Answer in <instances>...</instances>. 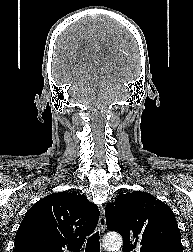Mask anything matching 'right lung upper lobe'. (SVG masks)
I'll use <instances>...</instances> for the list:
<instances>
[{
	"mask_svg": "<svg viewBox=\"0 0 193 252\" xmlns=\"http://www.w3.org/2000/svg\"><path fill=\"white\" fill-rule=\"evenodd\" d=\"M98 207L74 191L50 194L25 214L15 252H78L97 226Z\"/></svg>",
	"mask_w": 193,
	"mask_h": 252,
	"instance_id": "right-lung-upper-lobe-1",
	"label": "right lung upper lobe"
}]
</instances>
